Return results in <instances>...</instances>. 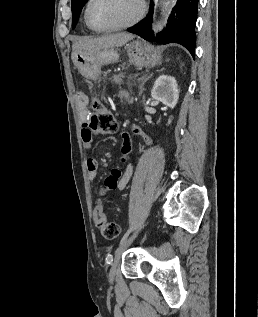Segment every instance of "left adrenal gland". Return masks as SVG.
<instances>
[{
	"label": "left adrenal gland",
	"mask_w": 258,
	"mask_h": 317,
	"mask_svg": "<svg viewBox=\"0 0 258 317\" xmlns=\"http://www.w3.org/2000/svg\"><path fill=\"white\" fill-rule=\"evenodd\" d=\"M152 74H153V72H152ZM152 74H149V76H148V74H145V76H142V78H140V80H142V82H141V84H139V88H140L139 94H141V92H143L144 82H146V80H148V78H150V76H152Z\"/></svg>",
	"instance_id": "1"
}]
</instances>
